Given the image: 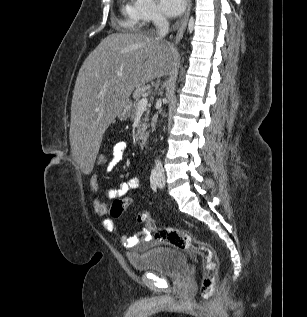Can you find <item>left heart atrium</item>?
<instances>
[{"label": "left heart atrium", "instance_id": "obj_1", "mask_svg": "<svg viewBox=\"0 0 307 317\" xmlns=\"http://www.w3.org/2000/svg\"><path fill=\"white\" fill-rule=\"evenodd\" d=\"M186 0H159L160 11L168 17H176L184 10Z\"/></svg>", "mask_w": 307, "mask_h": 317}]
</instances>
